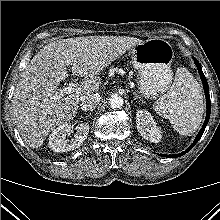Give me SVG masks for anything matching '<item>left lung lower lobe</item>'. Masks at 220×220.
Segmentation results:
<instances>
[{
  "mask_svg": "<svg viewBox=\"0 0 220 220\" xmlns=\"http://www.w3.org/2000/svg\"><path fill=\"white\" fill-rule=\"evenodd\" d=\"M193 59H194V62H195V64H196V66H197L199 75H200V77H201V80H202V83H203V87H204L205 96H206V104H207L206 118H205V121H204V124H203L201 130L199 131V133H198V135L196 136L194 142L192 143V145H191L188 149H186V150H185L184 152H182V153L175 154V155H162V156H164V157H173V158H175V157H180V156H183L184 154H186L188 151H190V150L195 146V144L199 141V139L201 138V136L203 135V132H204V130H205V128H206V125H207V123H208V121H209V118H210L211 102H210V95H209L208 83H207V80H206V78H205V76H204V74H203V71H202V68H201V66H200V63L197 61L196 58L193 57ZM159 155H161V154H159Z\"/></svg>",
  "mask_w": 220,
  "mask_h": 220,
  "instance_id": "1",
  "label": "left lung lower lobe"
}]
</instances>
